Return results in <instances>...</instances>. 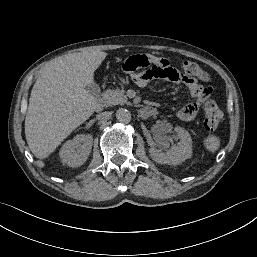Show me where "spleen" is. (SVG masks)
Wrapping results in <instances>:
<instances>
[{
    "label": "spleen",
    "instance_id": "1",
    "mask_svg": "<svg viewBox=\"0 0 257 257\" xmlns=\"http://www.w3.org/2000/svg\"><path fill=\"white\" fill-rule=\"evenodd\" d=\"M204 145L208 151L213 153L219 149L220 139L215 135H209L204 139Z\"/></svg>",
    "mask_w": 257,
    "mask_h": 257
}]
</instances>
